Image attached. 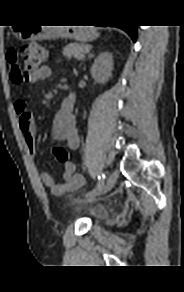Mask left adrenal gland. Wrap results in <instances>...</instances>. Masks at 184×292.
<instances>
[{
    "label": "left adrenal gland",
    "instance_id": "obj_1",
    "mask_svg": "<svg viewBox=\"0 0 184 292\" xmlns=\"http://www.w3.org/2000/svg\"><path fill=\"white\" fill-rule=\"evenodd\" d=\"M93 57V55L92 54H90L89 56H88V58L90 59V58H92Z\"/></svg>",
    "mask_w": 184,
    "mask_h": 292
}]
</instances>
